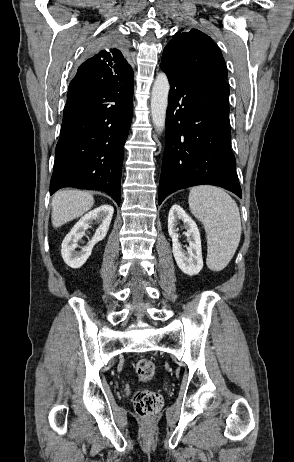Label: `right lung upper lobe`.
Returning a JSON list of instances; mask_svg holds the SVG:
<instances>
[{"mask_svg": "<svg viewBox=\"0 0 294 462\" xmlns=\"http://www.w3.org/2000/svg\"><path fill=\"white\" fill-rule=\"evenodd\" d=\"M133 75L120 50L105 48L97 51L78 68L67 94H82L112 87Z\"/></svg>", "mask_w": 294, "mask_h": 462, "instance_id": "obj_1", "label": "right lung upper lobe"}]
</instances>
